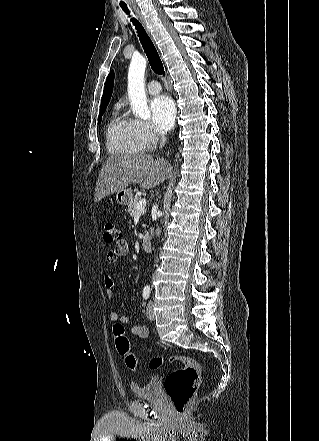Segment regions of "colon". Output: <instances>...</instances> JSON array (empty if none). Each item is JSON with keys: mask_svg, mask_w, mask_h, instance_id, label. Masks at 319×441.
<instances>
[{"mask_svg": "<svg viewBox=\"0 0 319 441\" xmlns=\"http://www.w3.org/2000/svg\"><path fill=\"white\" fill-rule=\"evenodd\" d=\"M103 237L107 243H113L120 238V232L114 222L105 223ZM113 335L117 352L124 357L126 366L132 371L140 369L141 364L131 352L130 340L121 322L114 324ZM165 363H179L182 365L181 368L170 372L164 381L166 394L174 407L175 413L178 417H182L185 414L187 403L196 392L200 377V366L192 357L171 355L168 357H153L145 364V368L158 370Z\"/></svg>", "mask_w": 319, "mask_h": 441, "instance_id": "colon-1", "label": "colon"}]
</instances>
